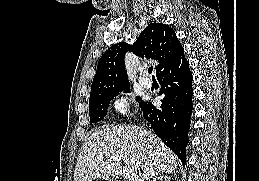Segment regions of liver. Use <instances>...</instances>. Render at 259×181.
I'll return each instance as SVG.
<instances>
[{
	"label": "liver",
	"instance_id": "liver-1",
	"mask_svg": "<svg viewBox=\"0 0 259 181\" xmlns=\"http://www.w3.org/2000/svg\"><path fill=\"white\" fill-rule=\"evenodd\" d=\"M118 156H125L126 167L132 169L129 181H147L177 168L178 158L153 132L129 125L106 127L95 130L83 143L74 181H115L123 161Z\"/></svg>",
	"mask_w": 259,
	"mask_h": 181
}]
</instances>
